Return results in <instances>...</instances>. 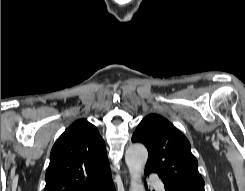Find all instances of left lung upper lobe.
<instances>
[{
  "instance_id": "left-lung-upper-lobe-1",
  "label": "left lung upper lobe",
  "mask_w": 245,
  "mask_h": 191,
  "mask_svg": "<svg viewBox=\"0 0 245 191\" xmlns=\"http://www.w3.org/2000/svg\"><path fill=\"white\" fill-rule=\"evenodd\" d=\"M132 142H141L148 150L145 173H157L165 186L177 191H205L189 140L166 118L147 115Z\"/></svg>"
}]
</instances>
